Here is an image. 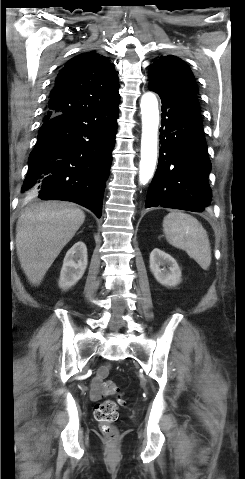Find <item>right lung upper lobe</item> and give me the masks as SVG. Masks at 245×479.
Returning <instances> with one entry per match:
<instances>
[{
    "label": "right lung upper lobe",
    "mask_w": 245,
    "mask_h": 479,
    "mask_svg": "<svg viewBox=\"0 0 245 479\" xmlns=\"http://www.w3.org/2000/svg\"><path fill=\"white\" fill-rule=\"evenodd\" d=\"M117 73L108 57L95 51L80 54L59 71L43 121L93 107L118 106Z\"/></svg>",
    "instance_id": "obj_1"
}]
</instances>
